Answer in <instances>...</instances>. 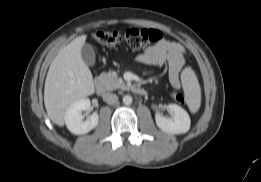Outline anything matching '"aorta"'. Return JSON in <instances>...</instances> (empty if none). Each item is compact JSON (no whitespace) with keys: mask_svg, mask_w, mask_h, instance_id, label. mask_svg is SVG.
<instances>
[{"mask_svg":"<svg viewBox=\"0 0 261 182\" xmlns=\"http://www.w3.org/2000/svg\"><path fill=\"white\" fill-rule=\"evenodd\" d=\"M132 101H133L132 96H130V95H124V97H123V103H124L125 105H130V104L132 103Z\"/></svg>","mask_w":261,"mask_h":182,"instance_id":"aorta-1","label":"aorta"}]
</instances>
